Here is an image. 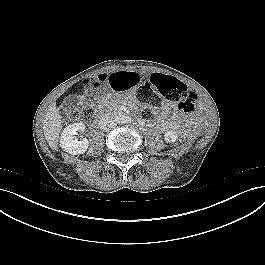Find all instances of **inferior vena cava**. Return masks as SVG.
<instances>
[{
    "instance_id": "inferior-vena-cava-1",
    "label": "inferior vena cava",
    "mask_w": 265,
    "mask_h": 265,
    "mask_svg": "<svg viewBox=\"0 0 265 265\" xmlns=\"http://www.w3.org/2000/svg\"><path fill=\"white\" fill-rule=\"evenodd\" d=\"M115 125H116V121L109 114H105V115L101 116L99 119V123H98V126L103 131H109V130L113 129L115 127Z\"/></svg>"
}]
</instances>
